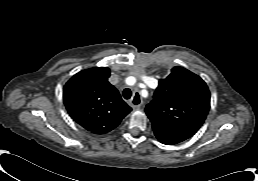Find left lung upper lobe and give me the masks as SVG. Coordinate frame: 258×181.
<instances>
[{
    "label": "left lung upper lobe",
    "instance_id": "1",
    "mask_svg": "<svg viewBox=\"0 0 258 181\" xmlns=\"http://www.w3.org/2000/svg\"><path fill=\"white\" fill-rule=\"evenodd\" d=\"M210 108L206 83L183 67H174L161 79L146 114L154 130L187 139L203 124Z\"/></svg>",
    "mask_w": 258,
    "mask_h": 181
}]
</instances>
